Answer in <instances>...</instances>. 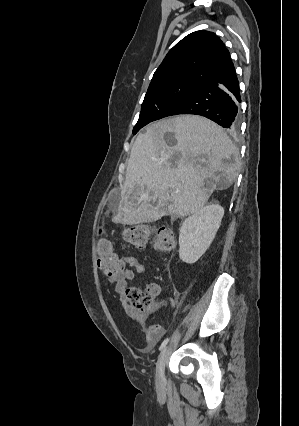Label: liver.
Masks as SVG:
<instances>
[{
	"mask_svg": "<svg viewBox=\"0 0 299 426\" xmlns=\"http://www.w3.org/2000/svg\"><path fill=\"white\" fill-rule=\"evenodd\" d=\"M173 134L168 143L165 134ZM238 150L223 128L197 115L157 121L132 144L114 223L137 225L198 212L237 176Z\"/></svg>",
	"mask_w": 299,
	"mask_h": 426,
	"instance_id": "1",
	"label": "liver"
}]
</instances>
